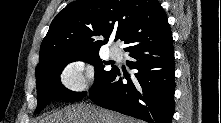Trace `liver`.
Returning a JSON list of instances; mask_svg holds the SVG:
<instances>
[{"instance_id":"liver-1","label":"liver","mask_w":221,"mask_h":123,"mask_svg":"<svg viewBox=\"0 0 221 123\" xmlns=\"http://www.w3.org/2000/svg\"><path fill=\"white\" fill-rule=\"evenodd\" d=\"M42 123H134L129 117L80 103L49 115Z\"/></svg>"}]
</instances>
